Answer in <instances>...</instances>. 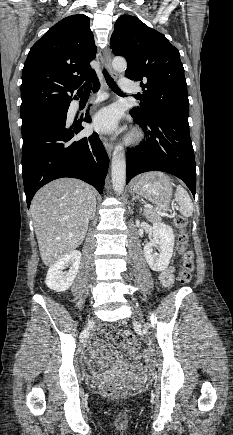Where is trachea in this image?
<instances>
[{
	"instance_id": "trachea-1",
	"label": "trachea",
	"mask_w": 233,
	"mask_h": 435,
	"mask_svg": "<svg viewBox=\"0 0 233 435\" xmlns=\"http://www.w3.org/2000/svg\"><path fill=\"white\" fill-rule=\"evenodd\" d=\"M103 74H104V77H105V79H106V82H107V84H108V86L114 91V92H116V93H122L121 91H120V89L118 88V86H117V84L115 83V81L113 80V78L109 75V73L104 69L103 70ZM90 91H91V86L90 85H87L86 87H85V90H84V92H83V95H89L90 94Z\"/></svg>"
}]
</instances>
